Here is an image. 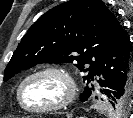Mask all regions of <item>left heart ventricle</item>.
Masks as SVG:
<instances>
[{
  "mask_svg": "<svg viewBox=\"0 0 133 118\" xmlns=\"http://www.w3.org/2000/svg\"><path fill=\"white\" fill-rule=\"evenodd\" d=\"M64 82L55 75L45 74L30 79L23 88L22 98L29 108L48 106L65 95Z\"/></svg>",
  "mask_w": 133,
  "mask_h": 118,
  "instance_id": "obj_1",
  "label": "left heart ventricle"
}]
</instances>
